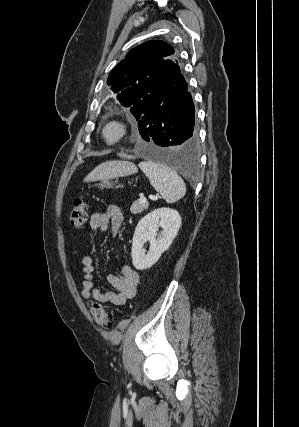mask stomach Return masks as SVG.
<instances>
[{
    "label": "stomach",
    "instance_id": "obj_1",
    "mask_svg": "<svg viewBox=\"0 0 299 427\" xmlns=\"http://www.w3.org/2000/svg\"><path fill=\"white\" fill-rule=\"evenodd\" d=\"M116 177H112V178H107L102 180V182L100 184H98V187L103 189V188H112L116 183V181H112V179H114Z\"/></svg>",
    "mask_w": 299,
    "mask_h": 427
}]
</instances>
